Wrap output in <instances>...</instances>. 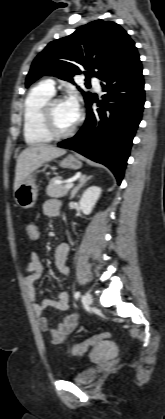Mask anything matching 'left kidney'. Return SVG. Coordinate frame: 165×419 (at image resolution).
<instances>
[{
	"instance_id": "obj_1",
	"label": "left kidney",
	"mask_w": 165,
	"mask_h": 419,
	"mask_svg": "<svg viewBox=\"0 0 165 419\" xmlns=\"http://www.w3.org/2000/svg\"><path fill=\"white\" fill-rule=\"evenodd\" d=\"M101 192V188L97 186H91L83 192L79 204L84 214L89 215L92 212L101 195Z\"/></svg>"
}]
</instances>
